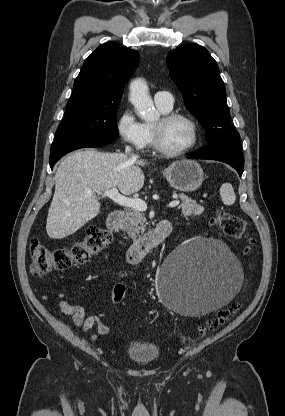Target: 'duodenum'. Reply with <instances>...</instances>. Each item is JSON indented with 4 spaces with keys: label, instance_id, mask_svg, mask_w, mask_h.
Segmentation results:
<instances>
[{
    "label": "duodenum",
    "instance_id": "duodenum-1",
    "mask_svg": "<svg viewBox=\"0 0 285 416\" xmlns=\"http://www.w3.org/2000/svg\"><path fill=\"white\" fill-rule=\"evenodd\" d=\"M122 219L123 212L121 210H115L110 214L107 220V228L112 235L119 232ZM171 234V223L167 220L159 221L147 235L132 243L127 248L124 254L127 266L133 267L148 252L161 247L163 243L171 236Z\"/></svg>",
    "mask_w": 285,
    "mask_h": 416
}]
</instances>
